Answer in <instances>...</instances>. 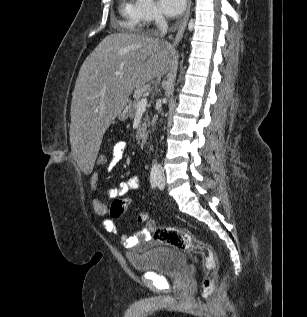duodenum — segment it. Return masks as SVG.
Wrapping results in <instances>:
<instances>
[{"label": "duodenum", "instance_id": "duodenum-1", "mask_svg": "<svg viewBox=\"0 0 307 317\" xmlns=\"http://www.w3.org/2000/svg\"><path fill=\"white\" fill-rule=\"evenodd\" d=\"M138 140L140 144L145 145L147 143V135L146 134L139 135Z\"/></svg>", "mask_w": 307, "mask_h": 317}]
</instances>
